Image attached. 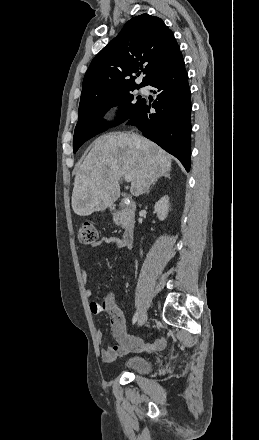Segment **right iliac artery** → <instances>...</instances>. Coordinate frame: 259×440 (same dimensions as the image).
Here are the masks:
<instances>
[{"label":"right iliac artery","instance_id":"1","mask_svg":"<svg viewBox=\"0 0 259 440\" xmlns=\"http://www.w3.org/2000/svg\"><path fill=\"white\" fill-rule=\"evenodd\" d=\"M138 317H139V313L136 312V313L134 314V316H133V320H132V323H133V324L136 323V321L138 320Z\"/></svg>","mask_w":259,"mask_h":440}]
</instances>
